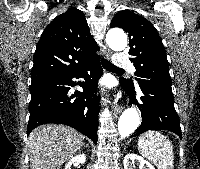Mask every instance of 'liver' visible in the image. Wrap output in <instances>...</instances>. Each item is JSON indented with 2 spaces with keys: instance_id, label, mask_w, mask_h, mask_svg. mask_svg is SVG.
Segmentation results:
<instances>
[{
  "instance_id": "6515ba94",
  "label": "liver",
  "mask_w": 200,
  "mask_h": 169,
  "mask_svg": "<svg viewBox=\"0 0 200 169\" xmlns=\"http://www.w3.org/2000/svg\"><path fill=\"white\" fill-rule=\"evenodd\" d=\"M83 135L56 124L35 128L28 138L31 169H60L62 164L83 145Z\"/></svg>"
}]
</instances>
